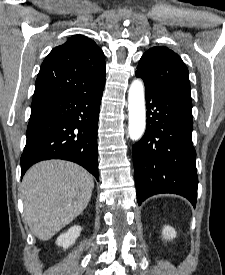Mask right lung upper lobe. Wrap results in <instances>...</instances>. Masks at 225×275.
<instances>
[{
    "label": "right lung upper lobe",
    "instance_id": "right-lung-upper-lobe-1",
    "mask_svg": "<svg viewBox=\"0 0 225 275\" xmlns=\"http://www.w3.org/2000/svg\"><path fill=\"white\" fill-rule=\"evenodd\" d=\"M104 76L102 50L84 35H74L55 47L43 61L32 104L66 94L89 93Z\"/></svg>",
    "mask_w": 225,
    "mask_h": 275
}]
</instances>
